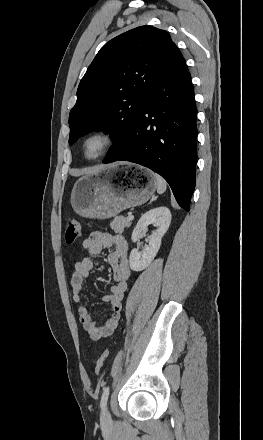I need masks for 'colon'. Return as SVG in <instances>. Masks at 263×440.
<instances>
[{
  "instance_id": "obj_1",
  "label": "colon",
  "mask_w": 263,
  "mask_h": 440,
  "mask_svg": "<svg viewBox=\"0 0 263 440\" xmlns=\"http://www.w3.org/2000/svg\"><path fill=\"white\" fill-rule=\"evenodd\" d=\"M81 235V224L78 219H69L66 223L65 240L68 244H72L78 240ZM108 352L104 350L95 365V372L99 373L103 368Z\"/></svg>"
}]
</instances>
